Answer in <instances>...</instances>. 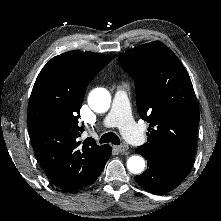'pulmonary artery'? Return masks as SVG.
<instances>
[{"label":"pulmonary artery","instance_id":"e3ab8cb5","mask_svg":"<svg viewBox=\"0 0 221 221\" xmlns=\"http://www.w3.org/2000/svg\"><path fill=\"white\" fill-rule=\"evenodd\" d=\"M103 125L120 128L124 137L133 145L139 146L145 142L143 131L132 119L125 86L117 88L111 110L104 117Z\"/></svg>","mask_w":221,"mask_h":221}]
</instances>
